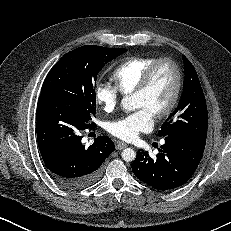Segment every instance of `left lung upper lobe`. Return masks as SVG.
I'll list each match as a JSON object with an SVG mask.
<instances>
[{
	"label": "left lung upper lobe",
	"mask_w": 231,
	"mask_h": 231,
	"mask_svg": "<svg viewBox=\"0 0 231 231\" xmlns=\"http://www.w3.org/2000/svg\"><path fill=\"white\" fill-rule=\"evenodd\" d=\"M183 62L185 78L182 97L158 135L206 139L208 113L205 96L195 68L185 56Z\"/></svg>",
	"instance_id": "1"
}]
</instances>
